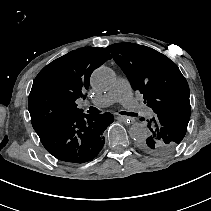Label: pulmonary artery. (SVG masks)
I'll use <instances>...</instances> for the list:
<instances>
[{
	"label": "pulmonary artery",
	"instance_id": "pulmonary-artery-1",
	"mask_svg": "<svg viewBox=\"0 0 211 211\" xmlns=\"http://www.w3.org/2000/svg\"><path fill=\"white\" fill-rule=\"evenodd\" d=\"M126 79L120 78L113 89L107 94L97 97L92 101V106L96 108H105L119 100L122 107L128 111H133L137 117L153 119L156 116V109L153 106H147L144 103H138L136 96L130 91V86Z\"/></svg>",
	"mask_w": 211,
	"mask_h": 211
}]
</instances>
